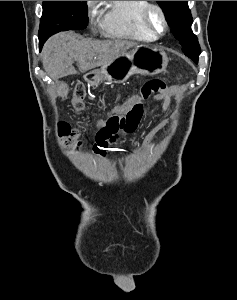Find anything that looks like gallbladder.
<instances>
[{"instance_id":"1","label":"gallbladder","mask_w":237,"mask_h":300,"mask_svg":"<svg viewBox=\"0 0 237 300\" xmlns=\"http://www.w3.org/2000/svg\"><path fill=\"white\" fill-rule=\"evenodd\" d=\"M65 86V85H64ZM67 86V85H66ZM59 91V90H58ZM63 91V90H62ZM64 91H66V90H64ZM68 91V90H67ZM59 98L60 99H65L66 98V93L65 92H60L59 93Z\"/></svg>"}]
</instances>
